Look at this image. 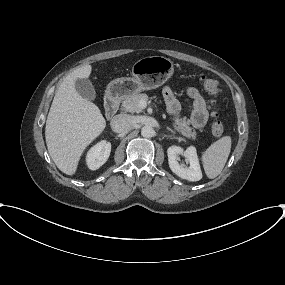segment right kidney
Segmentation results:
<instances>
[{
  "mask_svg": "<svg viewBox=\"0 0 285 285\" xmlns=\"http://www.w3.org/2000/svg\"><path fill=\"white\" fill-rule=\"evenodd\" d=\"M111 143L102 140L90 148L86 155V163L89 169H99L109 158Z\"/></svg>",
  "mask_w": 285,
  "mask_h": 285,
  "instance_id": "obj_1",
  "label": "right kidney"
}]
</instances>
